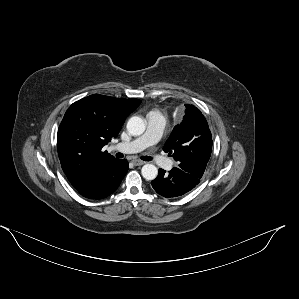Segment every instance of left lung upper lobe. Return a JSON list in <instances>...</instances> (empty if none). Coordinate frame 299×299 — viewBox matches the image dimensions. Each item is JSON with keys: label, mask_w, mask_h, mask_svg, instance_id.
<instances>
[{"label": "left lung upper lobe", "mask_w": 299, "mask_h": 299, "mask_svg": "<svg viewBox=\"0 0 299 299\" xmlns=\"http://www.w3.org/2000/svg\"><path fill=\"white\" fill-rule=\"evenodd\" d=\"M183 121L176 125L163 150L172 154L179 168L202 178L212 151V135L201 111L185 104Z\"/></svg>", "instance_id": "5c2ea615"}]
</instances>
